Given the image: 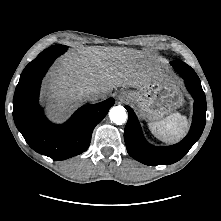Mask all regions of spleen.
Masks as SVG:
<instances>
[{
	"mask_svg": "<svg viewBox=\"0 0 221 221\" xmlns=\"http://www.w3.org/2000/svg\"><path fill=\"white\" fill-rule=\"evenodd\" d=\"M151 133L159 140L174 143L182 139L188 131L186 116L173 113L165 119L148 123Z\"/></svg>",
	"mask_w": 221,
	"mask_h": 221,
	"instance_id": "3e777b00",
	"label": "spleen"
}]
</instances>
